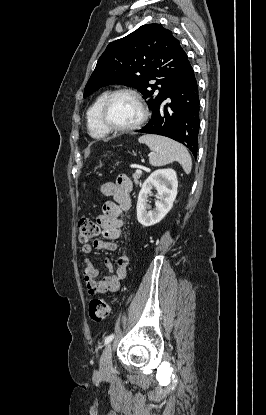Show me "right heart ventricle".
Segmentation results:
<instances>
[{"mask_svg":"<svg viewBox=\"0 0 266 415\" xmlns=\"http://www.w3.org/2000/svg\"><path fill=\"white\" fill-rule=\"evenodd\" d=\"M109 94V91L99 94L87 110V128L93 138H104L110 132L103 126L100 119L102 105Z\"/></svg>","mask_w":266,"mask_h":415,"instance_id":"obj_1","label":"right heart ventricle"}]
</instances>
